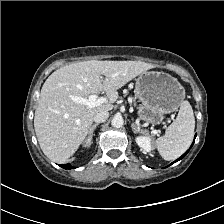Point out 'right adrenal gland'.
Returning a JSON list of instances; mask_svg holds the SVG:
<instances>
[{
    "label": "right adrenal gland",
    "instance_id": "1",
    "mask_svg": "<svg viewBox=\"0 0 224 224\" xmlns=\"http://www.w3.org/2000/svg\"><path fill=\"white\" fill-rule=\"evenodd\" d=\"M99 124L98 123H95L94 125L91 126L90 130H89V134H90V137L92 138L93 136V133H94V130L96 129V127L98 126Z\"/></svg>",
    "mask_w": 224,
    "mask_h": 224
}]
</instances>
